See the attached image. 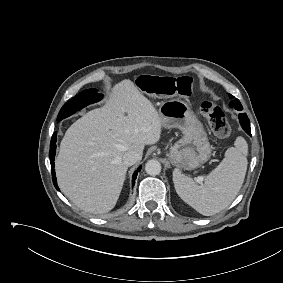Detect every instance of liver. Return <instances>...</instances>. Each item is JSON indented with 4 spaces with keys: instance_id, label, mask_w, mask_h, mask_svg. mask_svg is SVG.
Listing matches in <instances>:
<instances>
[{
    "instance_id": "obj_1",
    "label": "liver",
    "mask_w": 283,
    "mask_h": 283,
    "mask_svg": "<svg viewBox=\"0 0 283 283\" xmlns=\"http://www.w3.org/2000/svg\"><path fill=\"white\" fill-rule=\"evenodd\" d=\"M159 112L130 80L113 86L106 104L84 114L63 137L55 161L62 192L93 213L114 208L128 169L123 156L160 140ZM137 161V162H138Z\"/></svg>"
}]
</instances>
